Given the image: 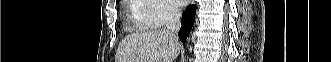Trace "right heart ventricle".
<instances>
[{"mask_svg":"<svg viewBox=\"0 0 331 62\" xmlns=\"http://www.w3.org/2000/svg\"><path fill=\"white\" fill-rule=\"evenodd\" d=\"M129 18L140 30H149L147 19L149 9L141 1H132L129 6Z\"/></svg>","mask_w":331,"mask_h":62,"instance_id":"1","label":"right heart ventricle"}]
</instances>
